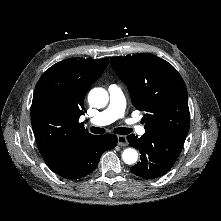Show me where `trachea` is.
Segmentation results:
<instances>
[{"label": "trachea", "mask_w": 221, "mask_h": 221, "mask_svg": "<svg viewBox=\"0 0 221 221\" xmlns=\"http://www.w3.org/2000/svg\"><path fill=\"white\" fill-rule=\"evenodd\" d=\"M90 131L94 134H103V133H105V130L103 128H99V127H92L90 129ZM131 131H132L131 129L125 128V127H119V128L114 129V133L121 134V135L129 134Z\"/></svg>", "instance_id": "1"}]
</instances>
